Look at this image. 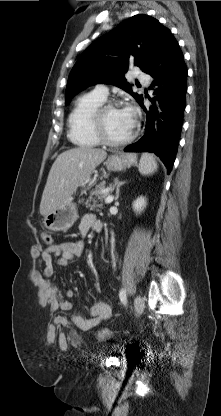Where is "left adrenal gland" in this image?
<instances>
[{
    "instance_id": "a2214340",
    "label": "left adrenal gland",
    "mask_w": 221,
    "mask_h": 416,
    "mask_svg": "<svg viewBox=\"0 0 221 416\" xmlns=\"http://www.w3.org/2000/svg\"><path fill=\"white\" fill-rule=\"evenodd\" d=\"M125 183H126L125 181H119V179H118V178H115V179H114V185H115V187H116V197H115V201H117V200H118V198H119L120 187H121L123 184H125Z\"/></svg>"
}]
</instances>
